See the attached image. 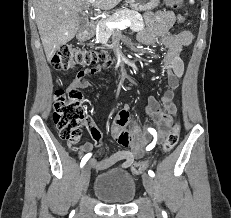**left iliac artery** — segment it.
Here are the masks:
<instances>
[{"mask_svg":"<svg viewBox=\"0 0 231 218\" xmlns=\"http://www.w3.org/2000/svg\"><path fill=\"white\" fill-rule=\"evenodd\" d=\"M148 132H149L150 134H152L153 137H154L153 141L146 147V150H147V151H150V150H152V149L155 147V145H156V143H157V132H156V130L153 129V128H148ZM148 174H149V176H151V177H154V176H155V174H154V172H153L152 170H149V171H148Z\"/></svg>","mask_w":231,"mask_h":218,"instance_id":"left-iliac-artery-1","label":"left iliac artery"}]
</instances>
